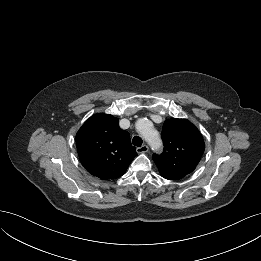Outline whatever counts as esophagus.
I'll list each match as a JSON object with an SVG mask.
<instances>
[{
    "mask_svg": "<svg viewBox=\"0 0 261 261\" xmlns=\"http://www.w3.org/2000/svg\"><path fill=\"white\" fill-rule=\"evenodd\" d=\"M148 150H149V147L145 144L136 149L137 153H139V154L140 153H146V152H148Z\"/></svg>",
    "mask_w": 261,
    "mask_h": 261,
    "instance_id": "34e87169",
    "label": "esophagus"
}]
</instances>
